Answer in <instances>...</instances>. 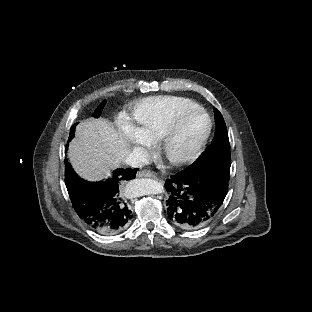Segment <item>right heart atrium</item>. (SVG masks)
Wrapping results in <instances>:
<instances>
[{
  "instance_id": "d8ad5b80",
  "label": "right heart atrium",
  "mask_w": 312,
  "mask_h": 312,
  "mask_svg": "<svg viewBox=\"0 0 312 312\" xmlns=\"http://www.w3.org/2000/svg\"><path fill=\"white\" fill-rule=\"evenodd\" d=\"M123 141L129 151L136 152L142 148L143 142L135 129L129 128L123 132Z\"/></svg>"
}]
</instances>
